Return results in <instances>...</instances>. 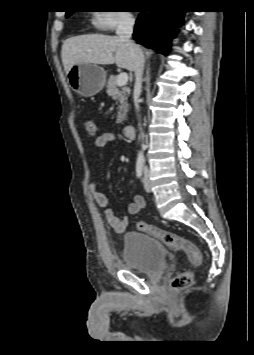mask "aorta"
Wrapping results in <instances>:
<instances>
[{
	"label": "aorta",
	"mask_w": 254,
	"mask_h": 355,
	"mask_svg": "<svg viewBox=\"0 0 254 355\" xmlns=\"http://www.w3.org/2000/svg\"><path fill=\"white\" fill-rule=\"evenodd\" d=\"M139 155H142V152H139Z\"/></svg>",
	"instance_id": "aorta-1"
}]
</instances>
